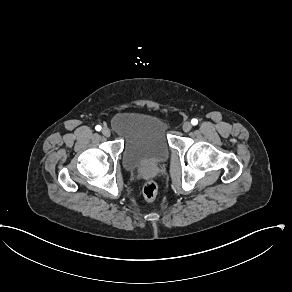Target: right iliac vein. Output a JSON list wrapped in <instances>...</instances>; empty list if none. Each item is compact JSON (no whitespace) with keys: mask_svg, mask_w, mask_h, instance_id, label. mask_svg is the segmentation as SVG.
Wrapping results in <instances>:
<instances>
[{"mask_svg":"<svg viewBox=\"0 0 292 292\" xmlns=\"http://www.w3.org/2000/svg\"><path fill=\"white\" fill-rule=\"evenodd\" d=\"M102 134L105 136V137H109L111 135V131L108 127H104L102 129Z\"/></svg>","mask_w":292,"mask_h":292,"instance_id":"right-iliac-vein-1","label":"right iliac vein"}]
</instances>
